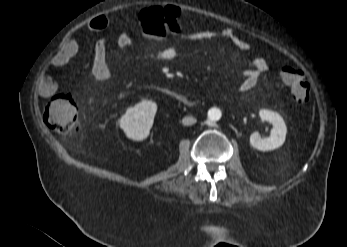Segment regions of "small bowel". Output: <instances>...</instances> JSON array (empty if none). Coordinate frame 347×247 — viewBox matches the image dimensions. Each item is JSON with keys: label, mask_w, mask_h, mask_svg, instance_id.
<instances>
[{"label": "small bowel", "mask_w": 347, "mask_h": 247, "mask_svg": "<svg viewBox=\"0 0 347 247\" xmlns=\"http://www.w3.org/2000/svg\"><path fill=\"white\" fill-rule=\"evenodd\" d=\"M109 22V19L105 16L95 17L87 23V28L93 32L101 31L109 26ZM174 35L183 41L224 40L231 43L242 54H247L250 51V44L236 31L228 27L199 28L190 32L179 31L178 29L174 31ZM131 44L132 40L129 33L123 32L118 39L119 48L126 49ZM78 50V42L73 38L68 39L53 56L50 66L54 68L63 67L77 54ZM176 56V47L170 45L161 51L160 60L162 62H171ZM268 68L269 65L266 59L254 57L251 60V68L238 85V90L245 92L253 89L257 85L259 74L267 71ZM91 72L96 79L101 81L112 77V71L106 60V45L104 42L96 43L93 47ZM37 88L43 96L49 97L56 92L57 84L50 74L42 73L37 79Z\"/></svg>", "instance_id": "obj_1"}]
</instances>
